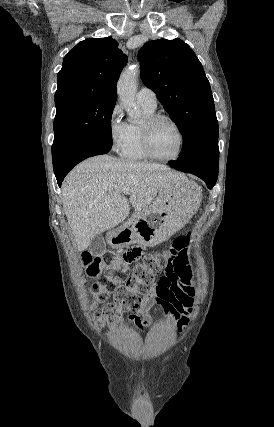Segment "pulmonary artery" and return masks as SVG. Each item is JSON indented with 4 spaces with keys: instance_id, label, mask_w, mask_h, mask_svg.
Masks as SVG:
<instances>
[{
    "instance_id": "e3ab8cb5",
    "label": "pulmonary artery",
    "mask_w": 274,
    "mask_h": 427,
    "mask_svg": "<svg viewBox=\"0 0 274 427\" xmlns=\"http://www.w3.org/2000/svg\"><path fill=\"white\" fill-rule=\"evenodd\" d=\"M137 101L143 108L155 110L157 108V98L155 93L146 87H141L137 92Z\"/></svg>"
}]
</instances>
